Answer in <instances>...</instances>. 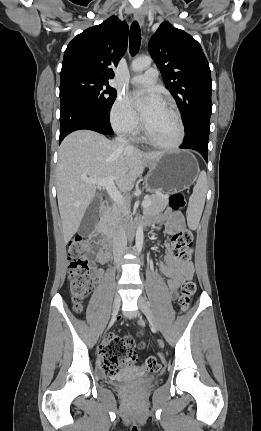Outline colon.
Returning a JSON list of instances; mask_svg holds the SVG:
<instances>
[{
	"mask_svg": "<svg viewBox=\"0 0 261 431\" xmlns=\"http://www.w3.org/2000/svg\"><path fill=\"white\" fill-rule=\"evenodd\" d=\"M171 207L180 210L186 205V197L182 193L173 194L170 198ZM172 243L178 250L175 259L187 263L190 259L188 248L192 246L193 235L190 231H179L172 237ZM90 250L89 242L81 236H74L68 244V279L69 290L76 311L82 310L83 302L92 287L90 276L91 266L87 258ZM196 292V284L187 280L181 287L179 304L182 310H186ZM134 340L130 335L124 337L110 334L100 347V356L103 369L108 374H115L119 369L134 360ZM164 345L158 344L159 348ZM168 359L164 352H158L157 356H151L141 363L144 373H160L162 366H167Z\"/></svg>",
	"mask_w": 261,
	"mask_h": 431,
	"instance_id": "5ec220e1",
	"label": "colon"
}]
</instances>
